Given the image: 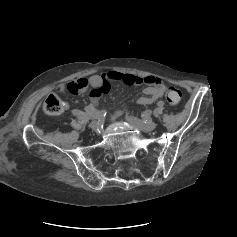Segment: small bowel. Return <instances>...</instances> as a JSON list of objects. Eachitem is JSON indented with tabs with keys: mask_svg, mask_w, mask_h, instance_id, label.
Masks as SVG:
<instances>
[{
	"mask_svg": "<svg viewBox=\"0 0 237 237\" xmlns=\"http://www.w3.org/2000/svg\"><path fill=\"white\" fill-rule=\"evenodd\" d=\"M120 81L126 85H140L145 84L144 96L138 99V103L142 105L150 104L161 98L165 91L164 81L156 76H136L128 73H120L117 71H107L101 75H92L88 78H80L78 80L69 82L66 85L58 87L61 93L78 94L82 92H89L90 104L86 107V112L95 114V111L100 103L102 95L108 94L111 89V82ZM69 105L64 103V109H68ZM124 109L117 110L112 119L125 112Z\"/></svg>",
	"mask_w": 237,
	"mask_h": 237,
	"instance_id": "obj_1",
	"label": "small bowel"
}]
</instances>
